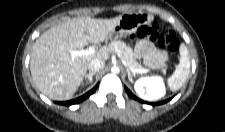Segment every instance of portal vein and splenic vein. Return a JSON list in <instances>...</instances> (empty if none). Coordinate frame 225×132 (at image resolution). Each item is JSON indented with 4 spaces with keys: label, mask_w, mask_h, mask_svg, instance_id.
<instances>
[{
    "label": "portal vein and splenic vein",
    "mask_w": 225,
    "mask_h": 132,
    "mask_svg": "<svg viewBox=\"0 0 225 132\" xmlns=\"http://www.w3.org/2000/svg\"><path fill=\"white\" fill-rule=\"evenodd\" d=\"M95 52H96V50L94 48H88V49H85V50L72 51L71 55H72V57H77V56L92 55ZM125 65L133 73H144L146 71V70H134L133 68L129 67L126 63H125Z\"/></svg>",
    "instance_id": "obj_1"
}]
</instances>
